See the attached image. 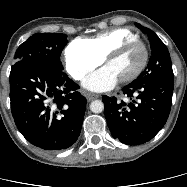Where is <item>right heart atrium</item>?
<instances>
[{"mask_svg":"<svg viewBox=\"0 0 187 187\" xmlns=\"http://www.w3.org/2000/svg\"><path fill=\"white\" fill-rule=\"evenodd\" d=\"M64 61L68 73L74 79L82 80L103 62V58L85 39H75L66 46Z\"/></svg>","mask_w":187,"mask_h":187,"instance_id":"right-heart-atrium-1","label":"right heart atrium"}]
</instances>
